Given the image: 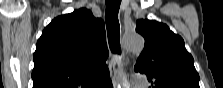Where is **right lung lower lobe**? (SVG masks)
Segmentation results:
<instances>
[{
    "mask_svg": "<svg viewBox=\"0 0 223 88\" xmlns=\"http://www.w3.org/2000/svg\"><path fill=\"white\" fill-rule=\"evenodd\" d=\"M112 87L113 86H112V83L110 80V76L103 83H101L97 86V88H112Z\"/></svg>",
    "mask_w": 223,
    "mask_h": 88,
    "instance_id": "98d812e1",
    "label": "right lung lower lobe"
}]
</instances>
